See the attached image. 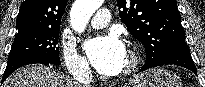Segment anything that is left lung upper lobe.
Here are the masks:
<instances>
[{"label": "left lung upper lobe", "instance_id": "obj_1", "mask_svg": "<svg viewBox=\"0 0 205 87\" xmlns=\"http://www.w3.org/2000/svg\"><path fill=\"white\" fill-rule=\"evenodd\" d=\"M117 1L122 21L145 46V65L157 66L172 49L186 44L175 0Z\"/></svg>", "mask_w": 205, "mask_h": 87}]
</instances>
